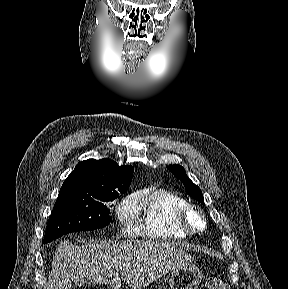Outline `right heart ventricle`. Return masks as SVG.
Masks as SVG:
<instances>
[{
	"label": "right heart ventricle",
	"mask_w": 288,
	"mask_h": 289,
	"mask_svg": "<svg viewBox=\"0 0 288 289\" xmlns=\"http://www.w3.org/2000/svg\"><path fill=\"white\" fill-rule=\"evenodd\" d=\"M132 202L139 218L140 235L162 242L181 241L190 236L179 219V210L188 201L179 193L167 188L144 189L134 195Z\"/></svg>",
	"instance_id": "obj_1"
}]
</instances>
